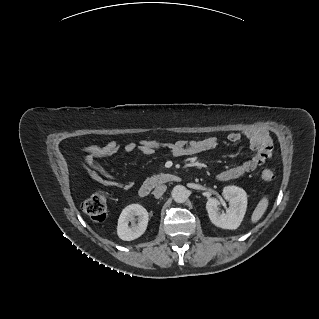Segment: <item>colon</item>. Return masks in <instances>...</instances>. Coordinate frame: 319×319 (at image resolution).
I'll use <instances>...</instances> for the list:
<instances>
[{
	"mask_svg": "<svg viewBox=\"0 0 319 319\" xmlns=\"http://www.w3.org/2000/svg\"><path fill=\"white\" fill-rule=\"evenodd\" d=\"M258 151L266 158L270 157L272 153V142L269 139L265 140L258 147ZM261 178L264 181H272L274 179V173L268 169L263 170ZM82 210L93 220H104L107 213V196L104 193H95L91 195L83 202Z\"/></svg>",
	"mask_w": 319,
	"mask_h": 319,
	"instance_id": "colon-1",
	"label": "colon"
}]
</instances>
